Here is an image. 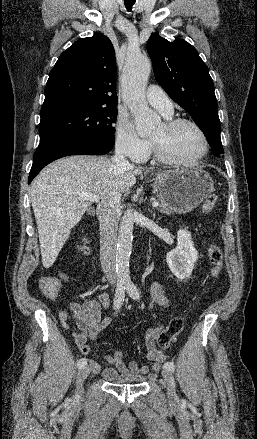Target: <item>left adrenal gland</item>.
<instances>
[{
    "mask_svg": "<svg viewBox=\"0 0 257 439\" xmlns=\"http://www.w3.org/2000/svg\"><path fill=\"white\" fill-rule=\"evenodd\" d=\"M150 213H153V211L149 210ZM153 215H155V213H153Z\"/></svg>",
    "mask_w": 257,
    "mask_h": 439,
    "instance_id": "a2214340",
    "label": "left adrenal gland"
}]
</instances>
